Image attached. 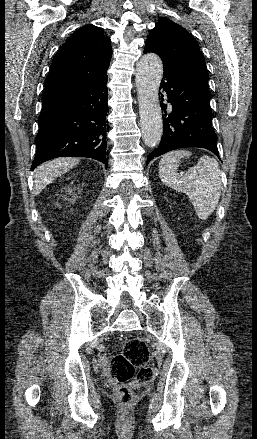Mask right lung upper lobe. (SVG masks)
Here are the masks:
<instances>
[{
    "instance_id": "right-lung-upper-lobe-1",
    "label": "right lung upper lobe",
    "mask_w": 257,
    "mask_h": 439,
    "mask_svg": "<svg viewBox=\"0 0 257 439\" xmlns=\"http://www.w3.org/2000/svg\"><path fill=\"white\" fill-rule=\"evenodd\" d=\"M104 30L85 25L72 34L52 60L42 100L92 83L106 74L112 57Z\"/></svg>"
}]
</instances>
